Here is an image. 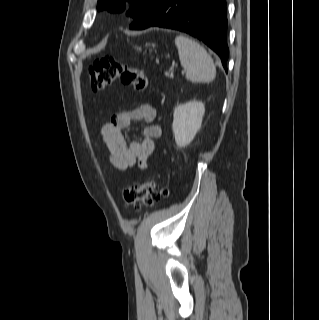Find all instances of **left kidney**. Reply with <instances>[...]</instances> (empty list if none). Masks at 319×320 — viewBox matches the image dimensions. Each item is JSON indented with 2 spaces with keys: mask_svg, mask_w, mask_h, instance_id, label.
<instances>
[{
  "mask_svg": "<svg viewBox=\"0 0 319 320\" xmlns=\"http://www.w3.org/2000/svg\"><path fill=\"white\" fill-rule=\"evenodd\" d=\"M204 113L205 107L200 101H190L174 109L172 130L179 147H186L193 141L201 128Z\"/></svg>",
  "mask_w": 319,
  "mask_h": 320,
  "instance_id": "5707ae66",
  "label": "left kidney"
}]
</instances>
